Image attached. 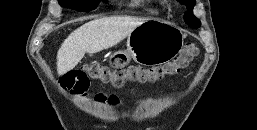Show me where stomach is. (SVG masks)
<instances>
[{
	"label": "stomach",
	"instance_id": "0dacf381",
	"mask_svg": "<svg viewBox=\"0 0 257 130\" xmlns=\"http://www.w3.org/2000/svg\"><path fill=\"white\" fill-rule=\"evenodd\" d=\"M184 38L182 31L168 22L147 20L128 35L126 50L114 53L111 60L133 59L145 66L163 64L179 53Z\"/></svg>",
	"mask_w": 257,
	"mask_h": 130
}]
</instances>
